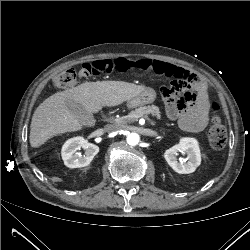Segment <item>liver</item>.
Here are the masks:
<instances>
[{
    "label": "liver",
    "instance_id": "1",
    "mask_svg": "<svg viewBox=\"0 0 250 250\" xmlns=\"http://www.w3.org/2000/svg\"><path fill=\"white\" fill-rule=\"evenodd\" d=\"M145 89V86L123 81H97L57 92L36 108L30 125V145L37 148L58 134L78 131L83 125H92L93 113H98L104 106L113 107L129 101ZM67 100L82 104L92 115L91 121L81 123L66 107Z\"/></svg>",
    "mask_w": 250,
    "mask_h": 250
}]
</instances>
